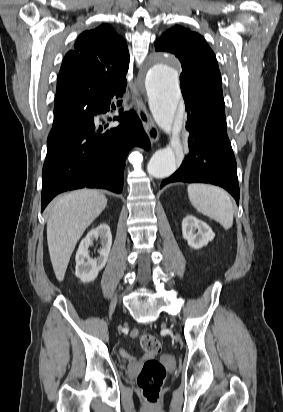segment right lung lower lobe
Instances as JSON below:
<instances>
[{"mask_svg":"<svg viewBox=\"0 0 283 412\" xmlns=\"http://www.w3.org/2000/svg\"><path fill=\"white\" fill-rule=\"evenodd\" d=\"M124 92L102 91L62 117L54 116L42 172V211L57 194L67 190L86 186L121 193L128 151L134 145L150 147L133 110H120L113 118L120 122L116 128L104 130L97 124L98 116L109 110L112 98Z\"/></svg>","mask_w":283,"mask_h":412,"instance_id":"1","label":"right lung lower lobe"}]
</instances>
